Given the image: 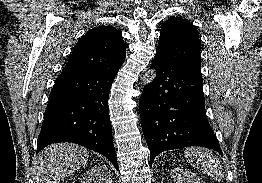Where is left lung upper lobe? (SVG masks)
I'll return each instance as SVG.
<instances>
[{
	"instance_id": "5c2ea615",
	"label": "left lung upper lobe",
	"mask_w": 262,
	"mask_h": 183,
	"mask_svg": "<svg viewBox=\"0 0 262 183\" xmlns=\"http://www.w3.org/2000/svg\"><path fill=\"white\" fill-rule=\"evenodd\" d=\"M200 51L198 31L188 20L172 17L164 22L155 56L201 75Z\"/></svg>"
}]
</instances>
